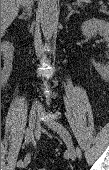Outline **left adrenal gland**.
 I'll return each mask as SVG.
<instances>
[{"mask_svg": "<svg viewBox=\"0 0 109 170\" xmlns=\"http://www.w3.org/2000/svg\"><path fill=\"white\" fill-rule=\"evenodd\" d=\"M67 7H68V9H69V14H68V16H67V20H69L70 16H71L73 13H79V11H78V10H74L70 4H67Z\"/></svg>", "mask_w": 109, "mask_h": 170, "instance_id": "obj_1", "label": "left adrenal gland"}]
</instances>
